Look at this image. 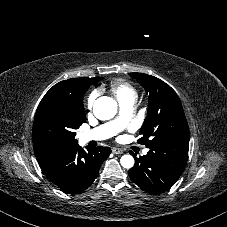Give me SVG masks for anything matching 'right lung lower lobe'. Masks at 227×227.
Returning a JSON list of instances; mask_svg holds the SVG:
<instances>
[{
	"label": "right lung lower lobe",
	"mask_w": 227,
	"mask_h": 227,
	"mask_svg": "<svg viewBox=\"0 0 227 227\" xmlns=\"http://www.w3.org/2000/svg\"><path fill=\"white\" fill-rule=\"evenodd\" d=\"M110 153L106 147H92L86 152L77 144L50 154L38 163L47 178L63 192L77 194L94 182L101 164Z\"/></svg>",
	"instance_id": "obj_1"
}]
</instances>
